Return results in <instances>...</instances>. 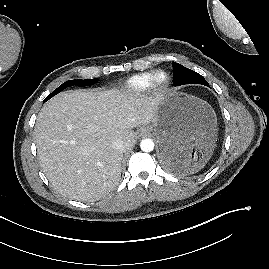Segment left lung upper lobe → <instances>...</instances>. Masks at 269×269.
<instances>
[{"label": "left lung upper lobe", "mask_w": 269, "mask_h": 269, "mask_svg": "<svg viewBox=\"0 0 269 269\" xmlns=\"http://www.w3.org/2000/svg\"><path fill=\"white\" fill-rule=\"evenodd\" d=\"M173 84L174 86L183 85V84H202L208 86V82L204 79L203 76L197 72L188 69L178 63H173Z\"/></svg>", "instance_id": "left-lung-upper-lobe-1"}]
</instances>
